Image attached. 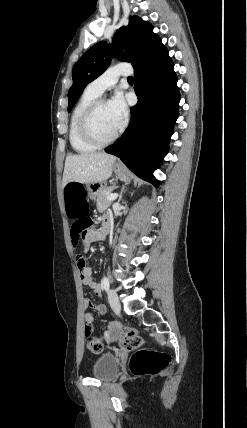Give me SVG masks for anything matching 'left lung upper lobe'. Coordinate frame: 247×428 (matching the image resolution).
<instances>
[{
	"label": "left lung upper lobe",
	"instance_id": "left-lung-upper-lobe-1",
	"mask_svg": "<svg viewBox=\"0 0 247 428\" xmlns=\"http://www.w3.org/2000/svg\"><path fill=\"white\" fill-rule=\"evenodd\" d=\"M125 48L126 52H122ZM165 49L158 35L153 33L149 22L138 16L130 18L126 27L120 28L113 37L112 45L105 41L96 43L81 57L73 68V85L68 92V111L91 81L100 76L114 56L131 62L134 69Z\"/></svg>",
	"mask_w": 247,
	"mask_h": 428
}]
</instances>
